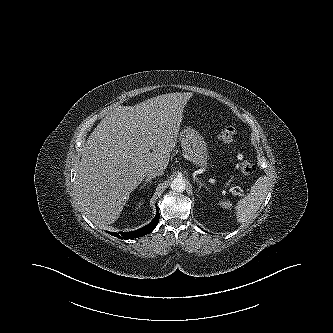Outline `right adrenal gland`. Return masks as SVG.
<instances>
[{
    "label": "right adrenal gland",
    "mask_w": 333,
    "mask_h": 333,
    "mask_svg": "<svg viewBox=\"0 0 333 333\" xmlns=\"http://www.w3.org/2000/svg\"><path fill=\"white\" fill-rule=\"evenodd\" d=\"M153 178H154V176L147 177V178L143 181V183H142V185L140 186V188L142 189V188H144L147 184H151Z\"/></svg>",
    "instance_id": "2a0ac1e0"
}]
</instances>
